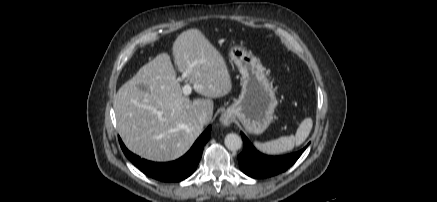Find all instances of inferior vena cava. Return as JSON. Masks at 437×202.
Masks as SVG:
<instances>
[{
	"label": "inferior vena cava",
	"mask_w": 437,
	"mask_h": 202,
	"mask_svg": "<svg viewBox=\"0 0 437 202\" xmlns=\"http://www.w3.org/2000/svg\"><path fill=\"white\" fill-rule=\"evenodd\" d=\"M198 121L201 125H204V124H207L210 120H209L208 115L203 112L199 115Z\"/></svg>",
	"instance_id": "1"
}]
</instances>
